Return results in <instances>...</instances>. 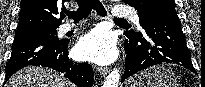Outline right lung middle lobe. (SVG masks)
<instances>
[{
  "mask_svg": "<svg viewBox=\"0 0 205 87\" xmlns=\"http://www.w3.org/2000/svg\"><path fill=\"white\" fill-rule=\"evenodd\" d=\"M27 34H45V35L56 36L57 32H56V29H49V30L36 31V32H30V33H25V34H16V37L27 35Z\"/></svg>",
  "mask_w": 205,
  "mask_h": 87,
  "instance_id": "obj_1",
  "label": "right lung middle lobe"
}]
</instances>
